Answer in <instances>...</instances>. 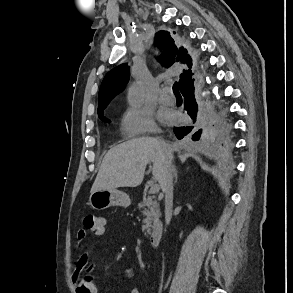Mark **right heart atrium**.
<instances>
[{
    "label": "right heart atrium",
    "mask_w": 293,
    "mask_h": 293,
    "mask_svg": "<svg viewBox=\"0 0 293 293\" xmlns=\"http://www.w3.org/2000/svg\"><path fill=\"white\" fill-rule=\"evenodd\" d=\"M121 122L124 131L131 136L159 132L153 113L147 110L128 109L123 113Z\"/></svg>",
    "instance_id": "d8ad5b80"
}]
</instances>
